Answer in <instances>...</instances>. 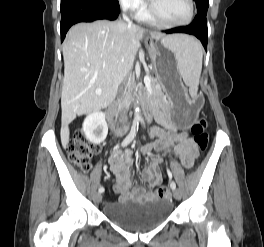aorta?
I'll return each instance as SVG.
<instances>
[{
  "label": "aorta",
  "mask_w": 264,
  "mask_h": 247,
  "mask_svg": "<svg viewBox=\"0 0 264 247\" xmlns=\"http://www.w3.org/2000/svg\"><path fill=\"white\" fill-rule=\"evenodd\" d=\"M137 104H138V101H137ZM137 104L135 105V114L134 115H135V120L139 121V120L142 119V117H141V114H140V109L137 106Z\"/></svg>",
  "instance_id": "obj_1"
}]
</instances>
